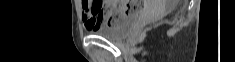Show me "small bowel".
Returning a JSON list of instances; mask_svg holds the SVG:
<instances>
[{
    "mask_svg": "<svg viewBox=\"0 0 235 62\" xmlns=\"http://www.w3.org/2000/svg\"><path fill=\"white\" fill-rule=\"evenodd\" d=\"M137 3L125 2L124 6L128 9L130 14L134 12L132 9ZM112 2L108 3L102 9H95V4L90 1H82V18L84 26L88 31H93L99 28L103 22L108 23L110 17V7Z\"/></svg>",
    "mask_w": 235,
    "mask_h": 62,
    "instance_id": "small-bowel-1",
    "label": "small bowel"
}]
</instances>
